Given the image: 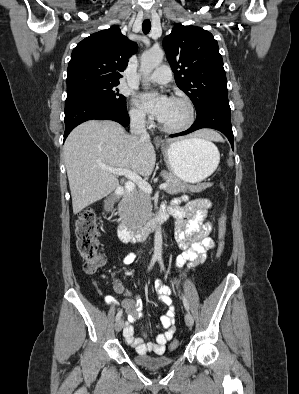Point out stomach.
Instances as JSON below:
<instances>
[{"mask_svg": "<svg viewBox=\"0 0 299 394\" xmlns=\"http://www.w3.org/2000/svg\"><path fill=\"white\" fill-rule=\"evenodd\" d=\"M170 173L187 183H199L217 168L220 154L217 147L202 138L174 141L162 148Z\"/></svg>", "mask_w": 299, "mask_h": 394, "instance_id": "obj_1", "label": "stomach"}]
</instances>
